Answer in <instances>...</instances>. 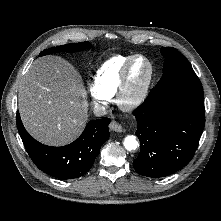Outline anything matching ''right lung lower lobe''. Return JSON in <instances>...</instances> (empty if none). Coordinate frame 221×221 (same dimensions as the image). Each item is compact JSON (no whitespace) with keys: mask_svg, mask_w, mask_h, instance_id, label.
Here are the masks:
<instances>
[{"mask_svg":"<svg viewBox=\"0 0 221 221\" xmlns=\"http://www.w3.org/2000/svg\"><path fill=\"white\" fill-rule=\"evenodd\" d=\"M16 123L25 149L35 165L46 174L63 180L86 174L102 144L109 138V118L89 122L78 139L63 147L46 146L33 139L25 130L19 113Z\"/></svg>","mask_w":221,"mask_h":221,"instance_id":"obj_1","label":"right lung lower lobe"}]
</instances>
